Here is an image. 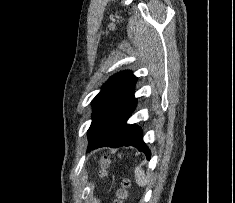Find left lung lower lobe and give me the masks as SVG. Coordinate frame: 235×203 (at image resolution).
I'll use <instances>...</instances> for the list:
<instances>
[{"mask_svg": "<svg viewBox=\"0 0 235 203\" xmlns=\"http://www.w3.org/2000/svg\"><path fill=\"white\" fill-rule=\"evenodd\" d=\"M136 106V99L132 94L110 125L90 145L87 151H91L100 147L109 146L118 148L121 146H133L143 152L147 159H150V150L143 141L142 130L135 124H126L127 119L132 114Z\"/></svg>", "mask_w": 235, "mask_h": 203, "instance_id": "left-lung-lower-lobe-1", "label": "left lung lower lobe"}]
</instances>
